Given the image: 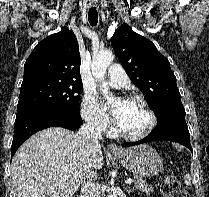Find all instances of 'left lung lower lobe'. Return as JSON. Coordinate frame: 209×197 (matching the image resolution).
<instances>
[{
  "mask_svg": "<svg viewBox=\"0 0 209 197\" xmlns=\"http://www.w3.org/2000/svg\"><path fill=\"white\" fill-rule=\"evenodd\" d=\"M185 111L170 112L157 118V125L155 129L144 139L137 142H127L124 143L123 147H130L142 143H147L151 141H173L178 142L192 152V147L190 144V134L188 126L185 121Z\"/></svg>",
  "mask_w": 209,
  "mask_h": 197,
  "instance_id": "left-lung-lower-lobe-1",
  "label": "left lung lower lobe"
}]
</instances>
